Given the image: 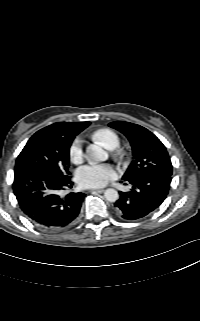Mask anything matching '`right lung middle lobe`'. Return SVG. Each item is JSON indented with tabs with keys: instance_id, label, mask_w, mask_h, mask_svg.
<instances>
[{
	"instance_id": "1",
	"label": "right lung middle lobe",
	"mask_w": 200,
	"mask_h": 321,
	"mask_svg": "<svg viewBox=\"0 0 200 321\" xmlns=\"http://www.w3.org/2000/svg\"><path fill=\"white\" fill-rule=\"evenodd\" d=\"M71 140L58 139L46 127L36 132L18 155L15 171L44 168L58 177H68Z\"/></svg>"
}]
</instances>
